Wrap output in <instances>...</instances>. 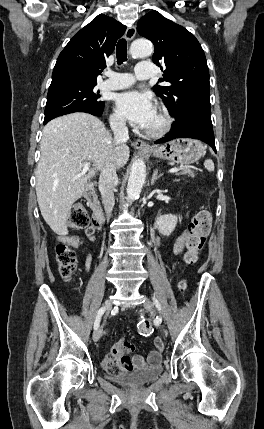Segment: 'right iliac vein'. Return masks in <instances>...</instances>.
Here are the masks:
<instances>
[{
  "mask_svg": "<svg viewBox=\"0 0 264 429\" xmlns=\"http://www.w3.org/2000/svg\"><path fill=\"white\" fill-rule=\"evenodd\" d=\"M104 307H105V309H106V313H104V314H103V317H104V318H107V317H108V314H110V313H111V310L113 309V306H112V302H111V300L106 301V302L104 303ZM101 333H102V326L98 327V328L94 331V333H93V340H94V342H97V341L100 339Z\"/></svg>",
  "mask_w": 264,
  "mask_h": 429,
  "instance_id": "obj_1",
  "label": "right iliac vein"
}]
</instances>
